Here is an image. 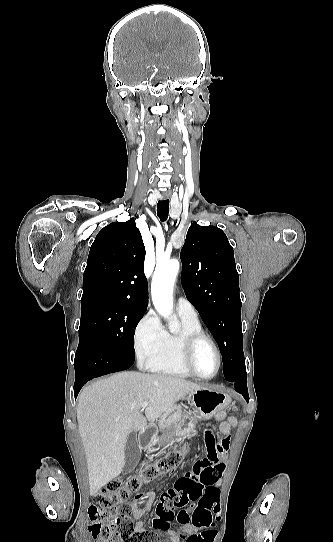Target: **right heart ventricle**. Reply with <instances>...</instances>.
Segmentation results:
<instances>
[{
    "label": "right heart ventricle",
    "mask_w": 333,
    "mask_h": 542,
    "mask_svg": "<svg viewBox=\"0 0 333 542\" xmlns=\"http://www.w3.org/2000/svg\"><path fill=\"white\" fill-rule=\"evenodd\" d=\"M179 317L181 320L179 331H165V337L159 345L138 353V364L142 369L179 378L191 377L182 364V342L190 334L202 333L203 328L199 320H191L180 315Z\"/></svg>",
    "instance_id": "1"
}]
</instances>
